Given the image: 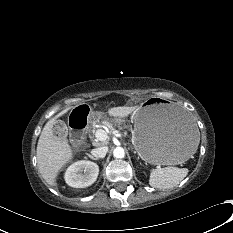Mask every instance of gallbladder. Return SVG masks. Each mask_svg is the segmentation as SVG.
<instances>
[{"instance_id":"bac80fb5","label":"gallbladder","mask_w":233,"mask_h":233,"mask_svg":"<svg viewBox=\"0 0 233 233\" xmlns=\"http://www.w3.org/2000/svg\"><path fill=\"white\" fill-rule=\"evenodd\" d=\"M64 128H65V124L62 121H59L57 127L55 128V131L57 132V134L59 135L61 139H63L66 133Z\"/></svg>"}]
</instances>
